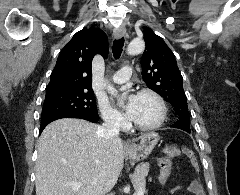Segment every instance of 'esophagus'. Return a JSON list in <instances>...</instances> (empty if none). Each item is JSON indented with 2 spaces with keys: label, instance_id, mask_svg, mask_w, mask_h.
<instances>
[{
  "label": "esophagus",
  "instance_id": "1",
  "mask_svg": "<svg viewBox=\"0 0 240 195\" xmlns=\"http://www.w3.org/2000/svg\"><path fill=\"white\" fill-rule=\"evenodd\" d=\"M126 33V28L124 26H121L119 28L114 29L113 34L116 37V39H120L123 37ZM126 147L131 148L130 145H127Z\"/></svg>",
  "mask_w": 240,
  "mask_h": 195
}]
</instances>
